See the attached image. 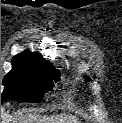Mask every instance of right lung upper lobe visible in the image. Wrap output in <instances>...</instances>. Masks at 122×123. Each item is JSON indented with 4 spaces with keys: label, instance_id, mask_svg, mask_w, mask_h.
Instances as JSON below:
<instances>
[{
    "label": "right lung upper lobe",
    "instance_id": "cb5924a9",
    "mask_svg": "<svg viewBox=\"0 0 122 123\" xmlns=\"http://www.w3.org/2000/svg\"><path fill=\"white\" fill-rule=\"evenodd\" d=\"M12 63L41 69H56L53 68L52 63L47 62L40 53H32L28 50L14 56Z\"/></svg>",
    "mask_w": 122,
    "mask_h": 123
}]
</instances>
